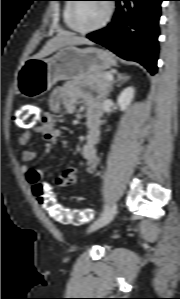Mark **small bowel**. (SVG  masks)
I'll return each mask as SVG.
<instances>
[{"label": "small bowel", "mask_w": 180, "mask_h": 299, "mask_svg": "<svg viewBox=\"0 0 180 299\" xmlns=\"http://www.w3.org/2000/svg\"><path fill=\"white\" fill-rule=\"evenodd\" d=\"M83 103L87 107L86 118V141L81 147V155L86 161V171L93 173L100 164V158L97 153V142L100 133V107L98 100L89 92L84 90L80 82H70L60 89L54 90L49 97V108L51 113L43 116L42 121L33 128L25 129L18 138V144L25 146L29 143L32 133L39 132L48 142H56L61 136V129L55 123V116L61 115L62 110L65 113H73L78 105ZM38 156V150L28 148L22 152V159L25 162H32ZM25 179L28 183H45L44 172L39 169L23 168ZM80 170L77 167H69L55 180L58 187H67L77 182Z\"/></svg>", "instance_id": "small-bowel-1"}]
</instances>
